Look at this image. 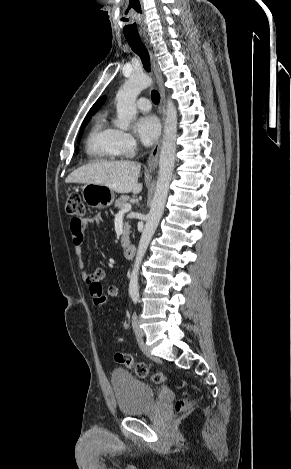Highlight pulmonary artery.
<instances>
[{
	"mask_svg": "<svg viewBox=\"0 0 291 469\" xmlns=\"http://www.w3.org/2000/svg\"><path fill=\"white\" fill-rule=\"evenodd\" d=\"M136 105L141 111L145 112L149 111L151 108L149 100L145 97L139 98L136 102Z\"/></svg>",
	"mask_w": 291,
	"mask_h": 469,
	"instance_id": "1",
	"label": "pulmonary artery"
}]
</instances>
